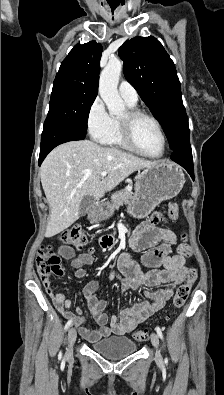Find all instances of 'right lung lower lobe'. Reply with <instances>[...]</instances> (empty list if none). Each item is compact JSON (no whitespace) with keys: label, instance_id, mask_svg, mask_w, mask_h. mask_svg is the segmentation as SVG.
<instances>
[{"label":"right lung lower lobe","instance_id":"right-lung-lower-lobe-1","mask_svg":"<svg viewBox=\"0 0 224 395\" xmlns=\"http://www.w3.org/2000/svg\"><path fill=\"white\" fill-rule=\"evenodd\" d=\"M85 137V133L76 130L65 122L45 120L41 136L39 165L54 147L68 141L82 140Z\"/></svg>","mask_w":224,"mask_h":395}]
</instances>
